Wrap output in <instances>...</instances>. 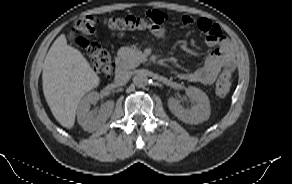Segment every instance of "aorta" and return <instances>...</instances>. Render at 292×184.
Segmentation results:
<instances>
[{"label": "aorta", "instance_id": "1", "mask_svg": "<svg viewBox=\"0 0 292 184\" xmlns=\"http://www.w3.org/2000/svg\"><path fill=\"white\" fill-rule=\"evenodd\" d=\"M133 82L137 87L142 88L148 84V77L144 72H139L134 76Z\"/></svg>", "mask_w": 292, "mask_h": 184}]
</instances>
